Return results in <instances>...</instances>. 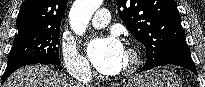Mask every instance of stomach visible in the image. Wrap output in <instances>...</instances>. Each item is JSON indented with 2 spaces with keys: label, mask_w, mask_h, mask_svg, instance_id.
I'll list each match as a JSON object with an SVG mask.
<instances>
[{
  "label": "stomach",
  "mask_w": 205,
  "mask_h": 87,
  "mask_svg": "<svg viewBox=\"0 0 205 87\" xmlns=\"http://www.w3.org/2000/svg\"><path fill=\"white\" fill-rule=\"evenodd\" d=\"M126 87H182V83L175 73L156 68L138 74Z\"/></svg>",
  "instance_id": "1"
}]
</instances>
